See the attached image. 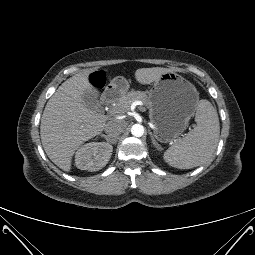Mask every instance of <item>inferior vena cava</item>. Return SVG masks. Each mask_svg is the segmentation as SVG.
Instances as JSON below:
<instances>
[{"label":"inferior vena cava","instance_id":"602c4592","mask_svg":"<svg viewBox=\"0 0 255 255\" xmlns=\"http://www.w3.org/2000/svg\"><path fill=\"white\" fill-rule=\"evenodd\" d=\"M124 129L125 122L123 120H111L104 127V131L112 143L116 141V137L120 135Z\"/></svg>","mask_w":255,"mask_h":255}]
</instances>
